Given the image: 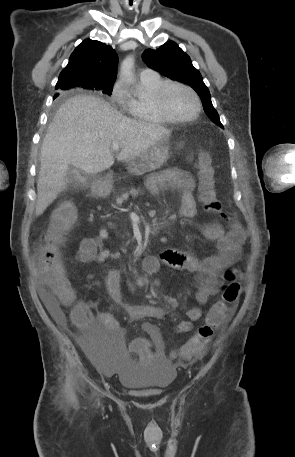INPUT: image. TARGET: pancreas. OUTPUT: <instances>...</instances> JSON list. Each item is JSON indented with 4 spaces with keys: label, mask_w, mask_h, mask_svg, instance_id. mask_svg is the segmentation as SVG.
<instances>
[{
    "label": "pancreas",
    "mask_w": 295,
    "mask_h": 457,
    "mask_svg": "<svg viewBox=\"0 0 295 457\" xmlns=\"http://www.w3.org/2000/svg\"><path fill=\"white\" fill-rule=\"evenodd\" d=\"M140 193L139 190H136L134 188H131L129 192L123 193L120 197L116 199V204L121 206L122 203L129 198L130 195L133 197H136Z\"/></svg>",
    "instance_id": "cf45deb5"
}]
</instances>
